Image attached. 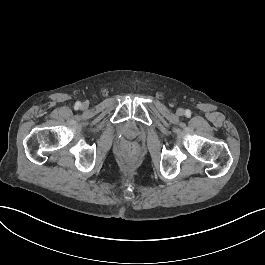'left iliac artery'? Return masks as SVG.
I'll return each instance as SVG.
<instances>
[{
  "mask_svg": "<svg viewBox=\"0 0 265 265\" xmlns=\"http://www.w3.org/2000/svg\"><path fill=\"white\" fill-rule=\"evenodd\" d=\"M185 114H186V116L190 117L191 116V111L190 110H186Z\"/></svg>",
  "mask_w": 265,
  "mask_h": 265,
  "instance_id": "obj_1",
  "label": "left iliac artery"
}]
</instances>
